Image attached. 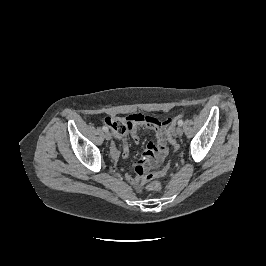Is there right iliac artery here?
Masks as SVG:
<instances>
[{
    "label": "right iliac artery",
    "mask_w": 266,
    "mask_h": 266,
    "mask_svg": "<svg viewBox=\"0 0 266 266\" xmlns=\"http://www.w3.org/2000/svg\"><path fill=\"white\" fill-rule=\"evenodd\" d=\"M103 131H108V128L106 126L102 127Z\"/></svg>",
    "instance_id": "82829eb1"
}]
</instances>
